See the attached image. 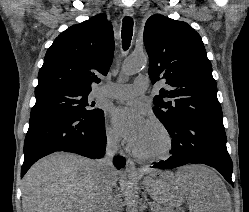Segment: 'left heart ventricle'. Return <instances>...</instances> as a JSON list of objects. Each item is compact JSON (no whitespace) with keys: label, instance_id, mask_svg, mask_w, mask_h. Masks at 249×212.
<instances>
[{"label":"left heart ventricle","instance_id":"obj_1","mask_svg":"<svg viewBox=\"0 0 249 212\" xmlns=\"http://www.w3.org/2000/svg\"><path fill=\"white\" fill-rule=\"evenodd\" d=\"M165 147V140L160 130L153 124L147 123L140 148L137 153L151 155L160 152Z\"/></svg>","mask_w":249,"mask_h":212}]
</instances>
